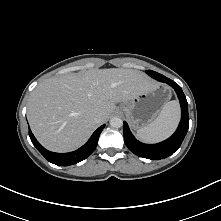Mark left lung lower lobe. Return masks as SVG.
Listing matches in <instances>:
<instances>
[{
  "label": "left lung lower lobe",
  "mask_w": 221,
  "mask_h": 221,
  "mask_svg": "<svg viewBox=\"0 0 221 221\" xmlns=\"http://www.w3.org/2000/svg\"><path fill=\"white\" fill-rule=\"evenodd\" d=\"M161 82H165L173 87L180 101L181 120L175 133L161 143L144 144L136 140L126 122L123 124L124 141L128 149L137 156L152 160H160L172 155L181 146L189 128L188 103L182 88L167 77L162 78Z\"/></svg>",
  "instance_id": "1"
}]
</instances>
